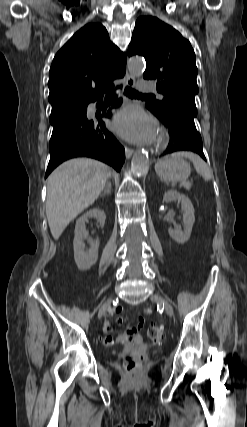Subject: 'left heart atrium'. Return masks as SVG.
<instances>
[{"label":"left heart atrium","mask_w":247,"mask_h":427,"mask_svg":"<svg viewBox=\"0 0 247 427\" xmlns=\"http://www.w3.org/2000/svg\"><path fill=\"white\" fill-rule=\"evenodd\" d=\"M113 130L127 141L143 144L156 136V122L138 107L130 106L118 112L112 123Z\"/></svg>","instance_id":"39dd6f15"}]
</instances>
